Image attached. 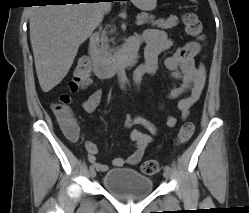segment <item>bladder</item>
Here are the masks:
<instances>
[{
	"instance_id": "bladder-1",
	"label": "bladder",
	"mask_w": 249,
	"mask_h": 213,
	"mask_svg": "<svg viewBox=\"0 0 249 213\" xmlns=\"http://www.w3.org/2000/svg\"><path fill=\"white\" fill-rule=\"evenodd\" d=\"M103 188L124 201H135L152 193L153 180L134 169L117 168L107 172L102 178Z\"/></svg>"
}]
</instances>
